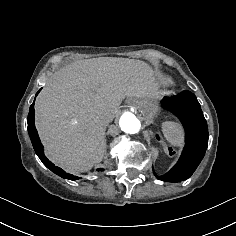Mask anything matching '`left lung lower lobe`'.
Here are the masks:
<instances>
[{"label":"left lung lower lobe","instance_id":"0a47b994","mask_svg":"<svg viewBox=\"0 0 236 236\" xmlns=\"http://www.w3.org/2000/svg\"><path fill=\"white\" fill-rule=\"evenodd\" d=\"M161 105L181 120L185 128L186 145L177 164L157 178L167 182H180L188 179L202 161L208 146V126L196 96L190 91L165 97Z\"/></svg>","mask_w":236,"mask_h":236}]
</instances>
